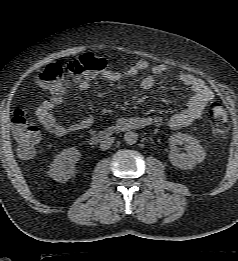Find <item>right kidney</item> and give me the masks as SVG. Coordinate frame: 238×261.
I'll return each mask as SVG.
<instances>
[{"mask_svg":"<svg viewBox=\"0 0 238 261\" xmlns=\"http://www.w3.org/2000/svg\"><path fill=\"white\" fill-rule=\"evenodd\" d=\"M81 153L75 147L64 149L54 159L49 175L57 182H66L75 174V164L80 160Z\"/></svg>","mask_w":238,"mask_h":261,"instance_id":"ca27d5eb","label":"right kidney"}]
</instances>
